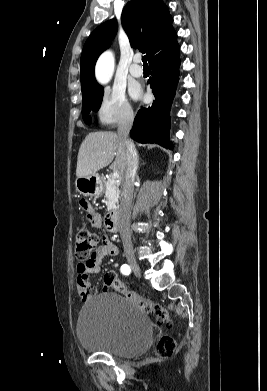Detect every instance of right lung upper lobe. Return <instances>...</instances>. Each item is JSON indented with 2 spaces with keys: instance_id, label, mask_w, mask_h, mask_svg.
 Returning <instances> with one entry per match:
<instances>
[{
  "instance_id": "obj_1",
  "label": "right lung upper lobe",
  "mask_w": 267,
  "mask_h": 391,
  "mask_svg": "<svg viewBox=\"0 0 267 391\" xmlns=\"http://www.w3.org/2000/svg\"><path fill=\"white\" fill-rule=\"evenodd\" d=\"M121 21L131 46L146 53L148 61L177 43L173 18L162 0L130 1L123 9ZM116 31V20H109L98 26L85 42L80 60L82 93L99 86L94 76L95 63Z\"/></svg>"
}]
</instances>
